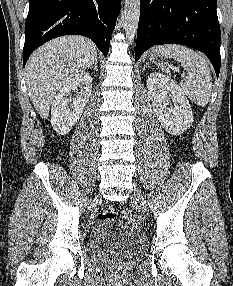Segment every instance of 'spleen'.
Masks as SVG:
<instances>
[{
  "instance_id": "obj_1",
  "label": "spleen",
  "mask_w": 233,
  "mask_h": 286,
  "mask_svg": "<svg viewBox=\"0 0 233 286\" xmlns=\"http://www.w3.org/2000/svg\"><path fill=\"white\" fill-rule=\"evenodd\" d=\"M157 55L175 59L187 71L181 82L183 92L197 105L208 104L212 92L211 70L206 59L189 47L178 44L161 45L156 48ZM163 71L169 68L160 64Z\"/></svg>"
}]
</instances>
